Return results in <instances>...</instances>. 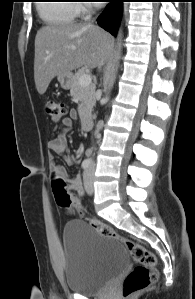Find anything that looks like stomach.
I'll use <instances>...</instances> for the list:
<instances>
[{
    "label": "stomach",
    "mask_w": 195,
    "mask_h": 299,
    "mask_svg": "<svg viewBox=\"0 0 195 299\" xmlns=\"http://www.w3.org/2000/svg\"><path fill=\"white\" fill-rule=\"evenodd\" d=\"M73 77H74L73 74L70 72V73L58 75L57 79L61 87L67 90L70 89L72 86Z\"/></svg>",
    "instance_id": "obj_1"
}]
</instances>
